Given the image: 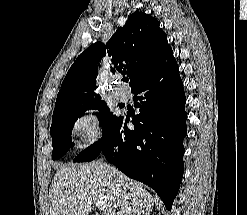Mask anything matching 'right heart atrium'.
Returning a JSON list of instances; mask_svg holds the SVG:
<instances>
[{"mask_svg": "<svg viewBox=\"0 0 247 215\" xmlns=\"http://www.w3.org/2000/svg\"><path fill=\"white\" fill-rule=\"evenodd\" d=\"M71 133L81 150L95 144L103 133V121L94 108H85L78 113L71 125Z\"/></svg>", "mask_w": 247, "mask_h": 215, "instance_id": "right-heart-atrium-1", "label": "right heart atrium"}]
</instances>
